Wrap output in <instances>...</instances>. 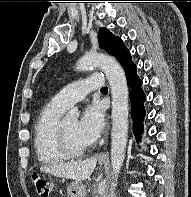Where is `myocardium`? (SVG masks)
Segmentation results:
<instances>
[{"mask_svg":"<svg viewBox=\"0 0 191 197\" xmlns=\"http://www.w3.org/2000/svg\"><path fill=\"white\" fill-rule=\"evenodd\" d=\"M57 139H58V144L61 148V150L63 151V153L69 157V158H78L83 156L87 150L89 149L88 146L84 147V148H74L67 137L65 128H64V124L63 122H60L58 125V129H57Z\"/></svg>","mask_w":191,"mask_h":197,"instance_id":"obj_1","label":"myocardium"}]
</instances>
